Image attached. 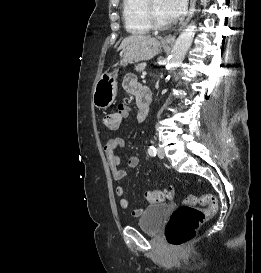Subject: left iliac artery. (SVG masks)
<instances>
[{
    "label": "left iliac artery",
    "instance_id": "1",
    "mask_svg": "<svg viewBox=\"0 0 261 273\" xmlns=\"http://www.w3.org/2000/svg\"><path fill=\"white\" fill-rule=\"evenodd\" d=\"M148 153L150 156H156V148L154 146H150L148 148Z\"/></svg>",
    "mask_w": 261,
    "mask_h": 273
}]
</instances>
